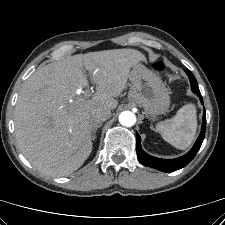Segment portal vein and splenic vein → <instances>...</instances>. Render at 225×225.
Here are the masks:
<instances>
[{"label": "portal vein and splenic vein", "mask_w": 225, "mask_h": 225, "mask_svg": "<svg viewBox=\"0 0 225 225\" xmlns=\"http://www.w3.org/2000/svg\"><path fill=\"white\" fill-rule=\"evenodd\" d=\"M81 92V89L77 90V94H79ZM86 96H89L88 93H85Z\"/></svg>", "instance_id": "portal-vein-and-splenic-vein-1"}]
</instances>
